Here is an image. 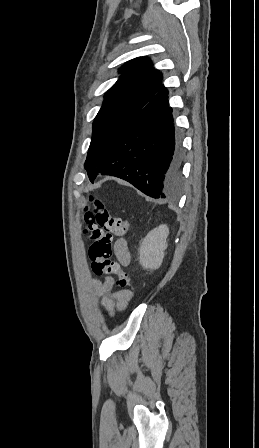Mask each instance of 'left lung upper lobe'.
Masks as SVG:
<instances>
[{
  "instance_id": "left-lung-upper-lobe-1",
  "label": "left lung upper lobe",
  "mask_w": 259,
  "mask_h": 448,
  "mask_svg": "<svg viewBox=\"0 0 259 448\" xmlns=\"http://www.w3.org/2000/svg\"><path fill=\"white\" fill-rule=\"evenodd\" d=\"M118 72L121 76L104 95L103 105L93 122L84 164L87 173L91 170V161L125 125L130 114L148 104L162 85V73L153 67L148 57L132 59Z\"/></svg>"
}]
</instances>
